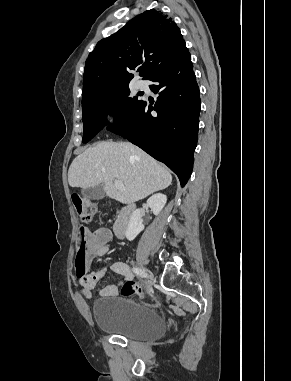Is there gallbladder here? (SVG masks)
<instances>
[{
  "instance_id": "1",
  "label": "gallbladder",
  "mask_w": 291,
  "mask_h": 381,
  "mask_svg": "<svg viewBox=\"0 0 291 381\" xmlns=\"http://www.w3.org/2000/svg\"><path fill=\"white\" fill-rule=\"evenodd\" d=\"M104 186L102 184L94 186V187H88V188H83L81 190V194L84 197L98 200L104 197Z\"/></svg>"
}]
</instances>
